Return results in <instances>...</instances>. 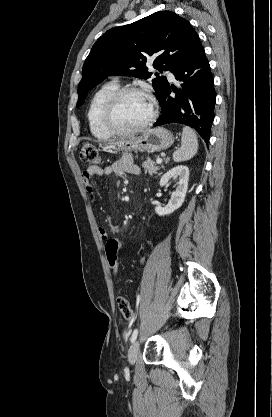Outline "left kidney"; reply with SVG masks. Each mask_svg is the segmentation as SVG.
<instances>
[{
	"mask_svg": "<svg viewBox=\"0 0 272 417\" xmlns=\"http://www.w3.org/2000/svg\"><path fill=\"white\" fill-rule=\"evenodd\" d=\"M171 179H178L177 188L175 191L172 192L171 198L165 207H155V212L159 216L169 215L182 206L188 189V167L184 165H179L170 169L161 177L160 186H167L168 182Z\"/></svg>",
	"mask_w": 272,
	"mask_h": 417,
	"instance_id": "left-kidney-1",
	"label": "left kidney"
}]
</instances>
